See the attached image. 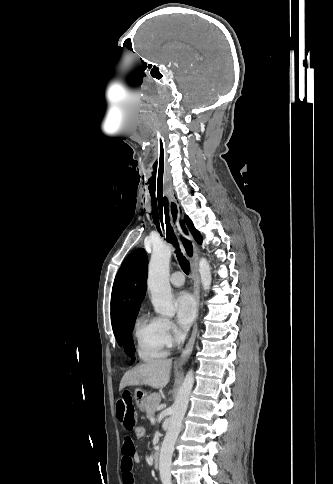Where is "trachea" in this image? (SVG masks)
I'll return each instance as SVG.
<instances>
[{"label": "trachea", "mask_w": 333, "mask_h": 484, "mask_svg": "<svg viewBox=\"0 0 333 484\" xmlns=\"http://www.w3.org/2000/svg\"><path fill=\"white\" fill-rule=\"evenodd\" d=\"M156 152L153 155L151 186L153 196L151 198L152 203V215L154 224L158 232L166 236L167 241L171 243L175 248V253L179 264L185 274H189L190 264L186 257L182 254L177 237L170 224V217L168 211V199L165 193V166L166 157L168 155L165 149L166 133L163 130L155 131Z\"/></svg>", "instance_id": "obj_1"}]
</instances>
